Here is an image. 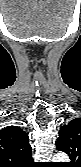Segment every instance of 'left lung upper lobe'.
Returning <instances> with one entry per match:
<instances>
[{"label":"left lung upper lobe","instance_id":"5c2ea615","mask_svg":"<svg viewBox=\"0 0 81 167\" xmlns=\"http://www.w3.org/2000/svg\"><path fill=\"white\" fill-rule=\"evenodd\" d=\"M59 151L65 152L71 159L69 167H79L81 160V119L71 120L59 130L56 143Z\"/></svg>","mask_w":81,"mask_h":167}]
</instances>
